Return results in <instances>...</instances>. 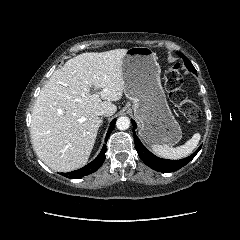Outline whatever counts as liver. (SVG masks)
Masks as SVG:
<instances>
[{
  "instance_id": "obj_1",
  "label": "liver",
  "mask_w": 240,
  "mask_h": 240,
  "mask_svg": "<svg viewBox=\"0 0 240 240\" xmlns=\"http://www.w3.org/2000/svg\"><path fill=\"white\" fill-rule=\"evenodd\" d=\"M127 49L82 53L57 69L43 86L32 110L31 140L51 169L83 167L101 124L99 112L113 115V101L124 92L123 58Z\"/></svg>"
}]
</instances>
